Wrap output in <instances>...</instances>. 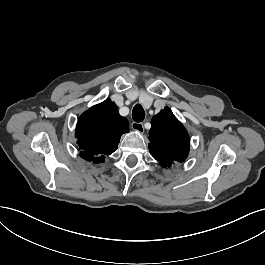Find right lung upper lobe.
<instances>
[{
	"instance_id": "right-lung-upper-lobe-1",
	"label": "right lung upper lobe",
	"mask_w": 265,
	"mask_h": 265,
	"mask_svg": "<svg viewBox=\"0 0 265 265\" xmlns=\"http://www.w3.org/2000/svg\"><path fill=\"white\" fill-rule=\"evenodd\" d=\"M129 123L118 113L111 100L84 112L76 126L80 156L93 163H103L118 148L122 134L129 132Z\"/></svg>"
}]
</instances>
